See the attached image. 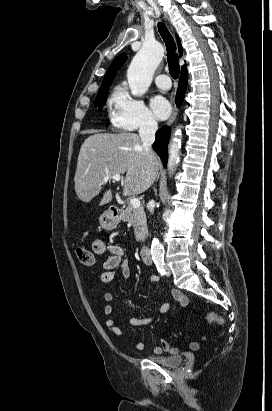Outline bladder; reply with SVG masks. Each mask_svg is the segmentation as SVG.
<instances>
[{
	"label": "bladder",
	"instance_id": "bladder-1",
	"mask_svg": "<svg viewBox=\"0 0 272 411\" xmlns=\"http://www.w3.org/2000/svg\"><path fill=\"white\" fill-rule=\"evenodd\" d=\"M148 359L158 363L160 365L170 367V368H176L180 366L183 362V357L180 355H150L148 356Z\"/></svg>",
	"mask_w": 272,
	"mask_h": 411
}]
</instances>
